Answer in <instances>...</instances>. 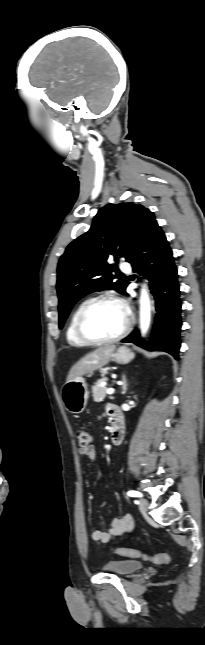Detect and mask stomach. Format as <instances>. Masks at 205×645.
Wrapping results in <instances>:
<instances>
[{"mask_svg": "<svg viewBox=\"0 0 205 645\" xmlns=\"http://www.w3.org/2000/svg\"><path fill=\"white\" fill-rule=\"evenodd\" d=\"M134 353L127 347H120L112 354V359L119 364H128ZM89 398V391L83 377L67 381L62 387V400L67 411L79 414L84 411Z\"/></svg>", "mask_w": 205, "mask_h": 645, "instance_id": "1", "label": "stomach"}]
</instances>
